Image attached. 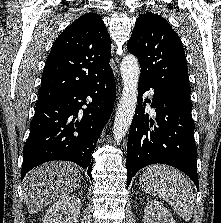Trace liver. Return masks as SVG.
Here are the masks:
<instances>
[{
  "label": "liver",
  "instance_id": "6515ba94",
  "mask_svg": "<svg viewBox=\"0 0 221 223\" xmlns=\"http://www.w3.org/2000/svg\"><path fill=\"white\" fill-rule=\"evenodd\" d=\"M80 182L81 173L72 162L54 161L34 168L23 181V196L28 212L35 214L72 193Z\"/></svg>",
  "mask_w": 221,
  "mask_h": 223
}]
</instances>
